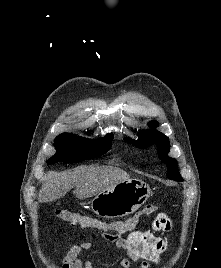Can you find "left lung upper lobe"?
<instances>
[{"mask_svg":"<svg viewBox=\"0 0 221 268\" xmlns=\"http://www.w3.org/2000/svg\"><path fill=\"white\" fill-rule=\"evenodd\" d=\"M149 126L157 127L158 122L152 121L149 123ZM125 141L132 143L140 148H146L155 143L158 147L159 158L163 162H166L168 166L167 177L175 181H183L182 177L178 173L176 160L173 158H169L167 155V153L169 152L170 143L169 138L166 137L164 134L156 130L141 131L139 133L138 141H134L130 138L125 139Z\"/></svg>","mask_w":221,"mask_h":268,"instance_id":"left-lung-upper-lobe-1","label":"left lung upper lobe"}]
</instances>
